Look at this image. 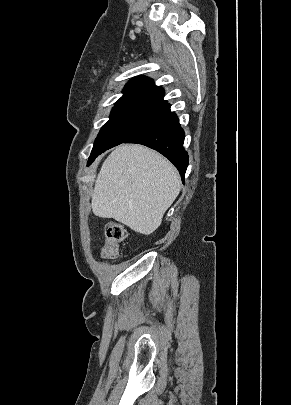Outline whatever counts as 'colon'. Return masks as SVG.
<instances>
[{
  "label": "colon",
  "mask_w": 291,
  "mask_h": 405,
  "mask_svg": "<svg viewBox=\"0 0 291 405\" xmlns=\"http://www.w3.org/2000/svg\"><path fill=\"white\" fill-rule=\"evenodd\" d=\"M126 238V229L117 222H108L105 226V244L102 248V258L113 260L118 257L120 244Z\"/></svg>",
  "instance_id": "obj_1"
}]
</instances>
